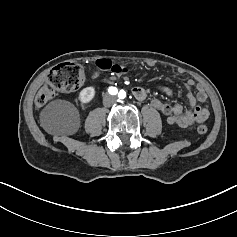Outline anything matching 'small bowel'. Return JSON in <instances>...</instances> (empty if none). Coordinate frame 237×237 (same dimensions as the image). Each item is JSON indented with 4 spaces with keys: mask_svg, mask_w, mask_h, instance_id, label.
I'll list each match as a JSON object with an SVG mask.
<instances>
[{
    "mask_svg": "<svg viewBox=\"0 0 237 237\" xmlns=\"http://www.w3.org/2000/svg\"><path fill=\"white\" fill-rule=\"evenodd\" d=\"M98 75V72L94 73V77ZM186 88L188 90V99L190 101V109L185 110L183 105L169 103L160 100L153 99L151 105L156 110L160 111L166 116V121L170 125H177L182 128L193 126L198 122L205 121L210 114L209 107L207 105V94L202 85L196 83L193 79H189L186 82ZM160 90L167 96L172 95V91L166 86H160ZM196 90L194 96L193 91ZM132 94L138 101H145L148 98V93L145 88L135 86L132 88ZM200 103V105L197 104Z\"/></svg>",
    "mask_w": 237,
    "mask_h": 237,
    "instance_id": "obj_1",
    "label": "small bowel"
}]
</instances>
